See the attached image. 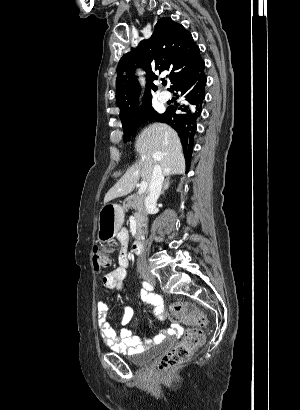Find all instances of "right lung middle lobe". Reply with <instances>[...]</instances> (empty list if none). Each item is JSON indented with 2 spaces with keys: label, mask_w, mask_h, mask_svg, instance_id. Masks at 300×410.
<instances>
[{
  "label": "right lung middle lobe",
  "mask_w": 300,
  "mask_h": 410,
  "mask_svg": "<svg viewBox=\"0 0 300 410\" xmlns=\"http://www.w3.org/2000/svg\"><path fill=\"white\" fill-rule=\"evenodd\" d=\"M158 113L152 108L151 102L142 108L134 118L122 123L124 131V142H128L135 130L147 120L157 116Z\"/></svg>",
  "instance_id": "obj_1"
}]
</instances>
